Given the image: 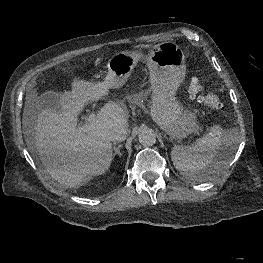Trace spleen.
<instances>
[{"label": "spleen", "instance_id": "spleen-1", "mask_svg": "<svg viewBox=\"0 0 263 263\" xmlns=\"http://www.w3.org/2000/svg\"><path fill=\"white\" fill-rule=\"evenodd\" d=\"M239 143L236 133H226L215 125L210 132L197 139L189 146L176 145L171 150V159L175 168L185 177L203 181L210 175H219L229 166L233 151ZM223 147L225 152L214 162L217 151ZM214 163L213 170L204 174V170Z\"/></svg>", "mask_w": 263, "mask_h": 263}]
</instances>
